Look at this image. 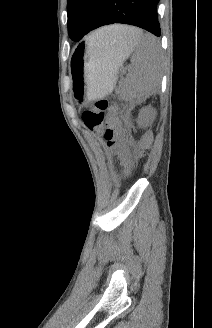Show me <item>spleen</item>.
Here are the masks:
<instances>
[{
	"label": "spleen",
	"instance_id": "3e777b00",
	"mask_svg": "<svg viewBox=\"0 0 212 328\" xmlns=\"http://www.w3.org/2000/svg\"><path fill=\"white\" fill-rule=\"evenodd\" d=\"M102 29L88 37L90 47H103L104 38L100 33ZM136 38V52L131 58L134 68L128 74L127 79L134 91L140 95H150L158 88L161 81L160 46L157 39L151 34H143L142 31H139Z\"/></svg>",
	"mask_w": 212,
	"mask_h": 328
}]
</instances>
